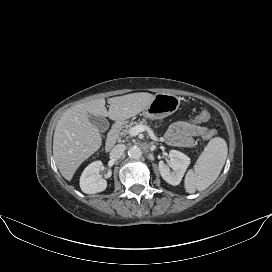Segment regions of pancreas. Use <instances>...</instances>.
<instances>
[{
    "mask_svg": "<svg viewBox=\"0 0 272 272\" xmlns=\"http://www.w3.org/2000/svg\"><path fill=\"white\" fill-rule=\"evenodd\" d=\"M144 124L146 125L147 122L145 120H141L139 122H131L129 124L122 126L120 128L119 133H118L119 138L130 135V131H131L133 125L138 126V125H144Z\"/></svg>",
    "mask_w": 272,
    "mask_h": 272,
    "instance_id": "1",
    "label": "pancreas"
}]
</instances>
